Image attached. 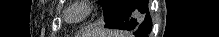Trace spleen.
I'll list each match as a JSON object with an SVG mask.
<instances>
[{
    "mask_svg": "<svg viewBox=\"0 0 219 37\" xmlns=\"http://www.w3.org/2000/svg\"><path fill=\"white\" fill-rule=\"evenodd\" d=\"M128 34L126 33H121L118 31H112L111 33L108 34V37H129L127 36Z\"/></svg>",
    "mask_w": 219,
    "mask_h": 37,
    "instance_id": "obj_1",
    "label": "spleen"
}]
</instances>
